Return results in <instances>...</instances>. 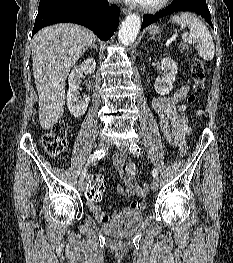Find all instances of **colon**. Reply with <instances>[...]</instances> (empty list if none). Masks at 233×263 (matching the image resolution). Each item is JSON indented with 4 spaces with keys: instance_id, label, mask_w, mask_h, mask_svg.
Returning <instances> with one entry per match:
<instances>
[{
    "instance_id": "obj_1",
    "label": "colon",
    "mask_w": 233,
    "mask_h": 263,
    "mask_svg": "<svg viewBox=\"0 0 233 263\" xmlns=\"http://www.w3.org/2000/svg\"><path fill=\"white\" fill-rule=\"evenodd\" d=\"M191 78L193 80V90L188 97V103L192 104L197 96L203 92L205 88V70L200 59L194 58L191 66ZM186 119V115L182 114ZM68 125L64 121L56 122L51 129L41 137V143L46 153L51 157L61 155L67 146ZM187 152V147H184L180 154L184 155ZM132 170V166H130ZM94 174L89 181L88 190H84V195H87L88 202H100L101 194L103 193L106 182L104 178L97 174H103V169H94ZM144 196L148 193V184L145 183L142 187Z\"/></svg>"
}]
</instances>
